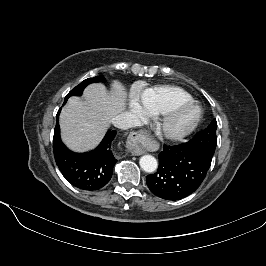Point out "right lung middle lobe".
<instances>
[{
  "mask_svg": "<svg viewBox=\"0 0 266 266\" xmlns=\"http://www.w3.org/2000/svg\"><path fill=\"white\" fill-rule=\"evenodd\" d=\"M104 78L101 77V76H98V77H94V78H88L84 81H82L79 85H77L75 88H73L68 94L67 96L65 97V100H64V103H66L67 99L70 97V96H73V95H81L84 88L90 84V83H94V82H101L103 81Z\"/></svg>",
  "mask_w": 266,
  "mask_h": 266,
  "instance_id": "1",
  "label": "right lung middle lobe"
}]
</instances>
